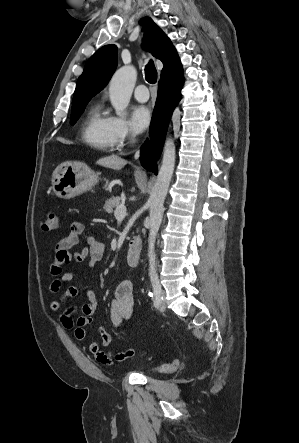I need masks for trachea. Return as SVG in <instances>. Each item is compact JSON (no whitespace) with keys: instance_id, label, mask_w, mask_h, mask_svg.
Here are the masks:
<instances>
[{"instance_id":"obj_1","label":"trachea","mask_w":299,"mask_h":443,"mask_svg":"<svg viewBox=\"0 0 299 443\" xmlns=\"http://www.w3.org/2000/svg\"><path fill=\"white\" fill-rule=\"evenodd\" d=\"M145 79L150 84H155L157 81V70L154 66V62L152 60L146 65L145 68Z\"/></svg>"}]
</instances>
